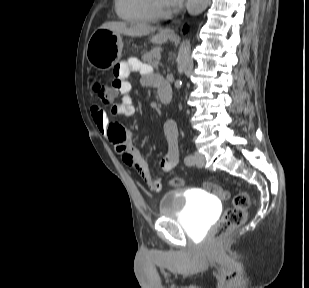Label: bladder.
<instances>
[{"label": "bladder", "mask_w": 309, "mask_h": 288, "mask_svg": "<svg viewBox=\"0 0 309 288\" xmlns=\"http://www.w3.org/2000/svg\"><path fill=\"white\" fill-rule=\"evenodd\" d=\"M210 192L173 190L166 192L158 202L161 218H175L182 228L193 234L202 233L219 212L220 203Z\"/></svg>", "instance_id": "31cf9c89"}]
</instances>
